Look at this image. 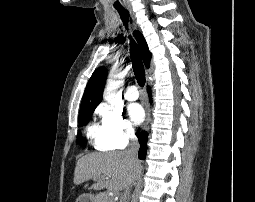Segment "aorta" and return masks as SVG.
I'll return each instance as SVG.
<instances>
[{"mask_svg": "<svg viewBox=\"0 0 255 202\" xmlns=\"http://www.w3.org/2000/svg\"><path fill=\"white\" fill-rule=\"evenodd\" d=\"M123 76L124 73L120 68V64H115L110 71L107 89L104 93V99L107 102L112 103L116 100L122 84Z\"/></svg>", "mask_w": 255, "mask_h": 202, "instance_id": "1", "label": "aorta"}]
</instances>
